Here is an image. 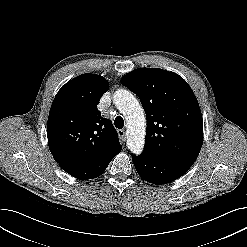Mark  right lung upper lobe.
<instances>
[{"label":"right lung upper lobe","instance_id":"obj_1","mask_svg":"<svg viewBox=\"0 0 247 247\" xmlns=\"http://www.w3.org/2000/svg\"><path fill=\"white\" fill-rule=\"evenodd\" d=\"M108 88L104 77L83 74L56 94L49 112L47 137L60 166H89L121 151L112 122L97 109Z\"/></svg>","mask_w":247,"mask_h":247}]
</instances>
